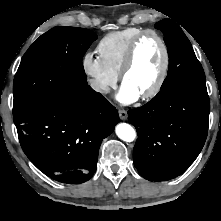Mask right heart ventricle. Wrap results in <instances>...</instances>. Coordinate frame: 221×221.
<instances>
[{
  "label": "right heart ventricle",
  "mask_w": 221,
  "mask_h": 221,
  "mask_svg": "<svg viewBox=\"0 0 221 221\" xmlns=\"http://www.w3.org/2000/svg\"><path fill=\"white\" fill-rule=\"evenodd\" d=\"M144 31L137 27H128L107 33L98 43L97 52L104 64L117 76L122 68L127 49L132 40Z\"/></svg>",
  "instance_id": "1"
}]
</instances>
